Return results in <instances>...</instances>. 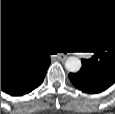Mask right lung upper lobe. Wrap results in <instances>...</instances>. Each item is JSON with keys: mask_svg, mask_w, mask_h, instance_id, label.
I'll return each instance as SVG.
<instances>
[{"mask_svg": "<svg viewBox=\"0 0 115 114\" xmlns=\"http://www.w3.org/2000/svg\"><path fill=\"white\" fill-rule=\"evenodd\" d=\"M48 60L45 55L30 53L19 35L1 33V81L8 75L22 76Z\"/></svg>", "mask_w": 115, "mask_h": 114, "instance_id": "1", "label": "right lung upper lobe"}]
</instances>
